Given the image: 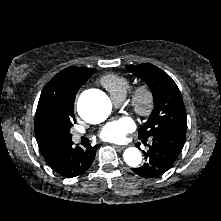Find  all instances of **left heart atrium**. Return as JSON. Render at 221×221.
Instances as JSON below:
<instances>
[{"label":"left heart atrium","mask_w":221,"mask_h":221,"mask_svg":"<svg viewBox=\"0 0 221 221\" xmlns=\"http://www.w3.org/2000/svg\"><path fill=\"white\" fill-rule=\"evenodd\" d=\"M134 127L135 125L131 118L121 117L107 123L100 131V137L106 141L121 142Z\"/></svg>","instance_id":"39dd6f15"}]
</instances>
